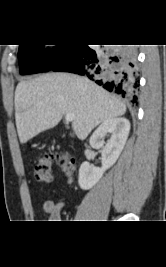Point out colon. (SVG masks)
<instances>
[{"label":"colon","instance_id":"colon-1","mask_svg":"<svg viewBox=\"0 0 166 267\" xmlns=\"http://www.w3.org/2000/svg\"><path fill=\"white\" fill-rule=\"evenodd\" d=\"M56 162L67 174H72L74 170L73 159L62 152L46 153L35 163L34 172L38 181L49 182L52 177V164Z\"/></svg>","mask_w":166,"mask_h":267}]
</instances>
